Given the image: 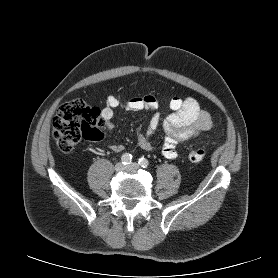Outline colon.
<instances>
[{"label": "colon", "instance_id": "colon-1", "mask_svg": "<svg viewBox=\"0 0 278 278\" xmlns=\"http://www.w3.org/2000/svg\"><path fill=\"white\" fill-rule=\"evenodd\" d=\"M104 126L101 110L76 99L63 104L53 119L52 136L60 152H70L82 139L100 140ZM206 157L204 148L193 146L188 152L191 162Z\"/></svg>", "mask_w": 278, "mask_h": 278}]
</instances>
